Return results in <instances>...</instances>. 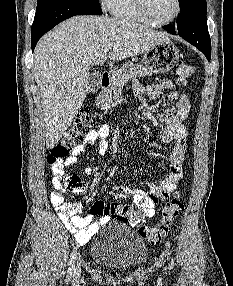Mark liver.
Returning a JSON list of instances; mask_svg holds the SVG:
<instances>
[{
	"label": "liver",
	"instance_id": "1",
	"mask_svg": "<svg viewBox=\"0 0 233 286\" xmlns=\"http://www.w3.org/2000/svg\"><path fill=\"white\" fill-rule=\"evenodd\" d=\"M169 40L135 21L107 16H76L38 42L33 72L40 89L46 147L52 149L69 128L89 90V69L109 57L122 60ZM111 46L109 55L104 48Z\"/></svg>",
	"mask_w": 233,
	"mask_h": 286
}]
</instances>
